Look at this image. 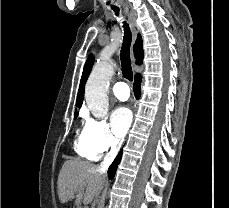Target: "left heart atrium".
I'll return each instance as SVG.
<instances>
[{
	"instance_id": "left-heart-atrium-1",
	"label": "left heart atrium",
	"mask_w": 229,
	"mask_h": 208,
	"mask_svg": "<svg viewBox=\"0 0 229 208\" xmlns=\"http://www.w3.org/2000/svg\"><path fill=\"white\" fill-rule=\"evenodd\" d=\"M132 120V111L126 106L118 107L113 111L111 115V125L119 138L126 135L132 124Z\"/></svg>"
}]
</instances>
